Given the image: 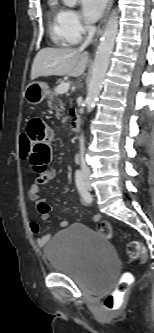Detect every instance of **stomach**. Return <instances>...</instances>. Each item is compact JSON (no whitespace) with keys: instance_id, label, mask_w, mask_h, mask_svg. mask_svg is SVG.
<instances>
[{"instance_id":"obj_1","label":"stomach","mask_w":154,"mask_h":333,"mask_svg":"<svg viewBox=\"0 0 154 333\" xmlns=\"http://www.w3.org/2000/svg\"><path fill=\"white\" fill-rule=\"evenodd\" d=\"M47 85L43 82H31L25 89L24 97L29 104L38 105L46 97Z\"/></svg>"}]
</instances>
